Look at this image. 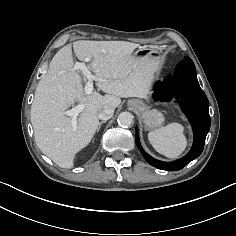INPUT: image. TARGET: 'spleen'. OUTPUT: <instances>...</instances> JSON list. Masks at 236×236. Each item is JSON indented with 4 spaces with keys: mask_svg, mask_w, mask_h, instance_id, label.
I'll list each match as a JSON object with an SVG mask.
<instances>
[{
    "mask_svg": "<svg viewBox=\"0 0 236 236\" xmlns=\"http://www.w3.org/2000/svg\"><path fill=\"white\" fill-rule=\"evenodd\" d=\"M148 139L158 153L171 159L178 158L187 147L184 127L178 123L154 129L149 132Z\"/></svg>",
    "mask_w": 236,
    "mask_h": 236,
    "instance_id": "obj_1",
    "label": "spleen"
}]
</instances>
